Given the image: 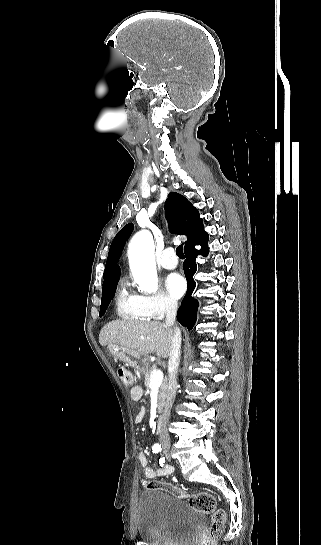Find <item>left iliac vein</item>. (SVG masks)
Here are the masks:
<instances>
[{"label": "left iliac vein", "instance_id": "obj_1", "mask_svg": "<svg viewBox=\"0 0 321 545\" xmlns=\"http://www.w3.org/2000/svg\"><path fill=\"white\" fill-rule=\"evenodd\" d=\"M166 457H167L168 460H170V454L169 453L166 454Z\"/></svg>", "mask_w": 321, "mask_h": 545}]
</instances>
